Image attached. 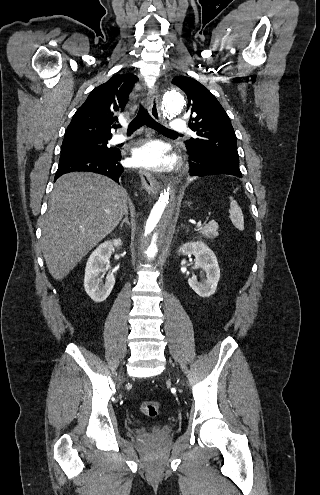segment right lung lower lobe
<instances>
[{
	"instance_id": "1",
	"label": "right lung lower lobe",
	"mask_w": 320,
	"mask_h": 495,
	"mask_svg": "<svg viewBox=\"0 0 320 495\" xmlns=\"http://www.w3.org/2000/svg\"><path fill=\"white\" fill-rule=\"evenodd\" d=\"M121 159L120 151L110 150L109 152H63L61 153L58 170L55 179L61 175L73 171H87L99 173L110 177L118 182L124 171L119 163Z\"/></svg>"
}]
</instances>
